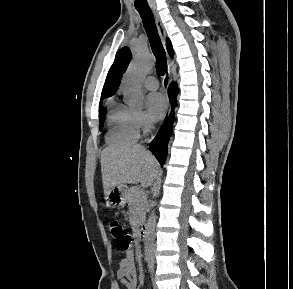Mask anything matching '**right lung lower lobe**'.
<instances>
[{"label": "right lung lower lobe", "instance_id": "right-lung-lower-lobe-1", "mask_svg": "<svg viewBox=\"0 0 293 289\" xmlns=\"http://www.w3.org/2000/svg\"><path fill=\"white\" fill-rule=\"evenodd\" d=\"M177 91H178L177 85L175 83H172L168 89L169 98L172 103L171 113L168 119L166 120L165 124L159 130L157 136L150 143V150L155 155V157L157 158V160L159 161L161 165L164 164L165 159L167 157V151H168L167 145H168L169 137L172 132V124L174 121L173 109L176 103Z\"/></svg>", "mask_w": 293, "mask_h": 289}]
</instances>
